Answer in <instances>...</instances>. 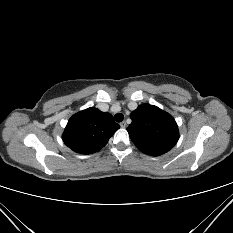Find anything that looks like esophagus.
Wrapping results in <instances>:
<instances>
[{
    "instance_id": "34e87169",
    "label": "esophagus",
    "mask_w": 233,
    "mask_h": 233,
    "mask_svg": "<svg viewBox=\"0 0 233 233\" xmlns=\"http://www.w3.org/2000/svg\"><path fill=\"white\" fill-rule=\"evenodd\" d=\"M126 122L125 121H122L121 123H120V126H121V128H125L126 127Z\"/></svg>"
}]
</instances>
